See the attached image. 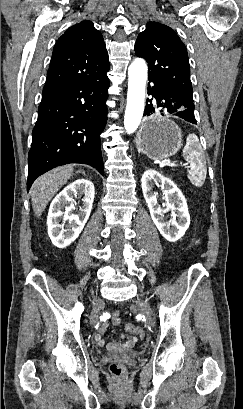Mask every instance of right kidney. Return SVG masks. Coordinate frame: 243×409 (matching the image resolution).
Masks as SVG:
<instances>
[{"mask_svg": "<svg viewBox=\"0 0 243 409\" xmlns=\"http://www.w3.org/2000/svg\"><path fill=\"white\" fill-rule=\"evenodd\" d=\"M83 195V205L78 214H72L74 209L73 196ZM94 185L87 179H78L66 186L51 202L48 217V235L58 248H65L76 240L83 230L92 210L94 200ZM65 207V212L62 209ZM63 222L60 224V222ZM68 221L64 229V223Z\"/></svg>", "mask_w": 243, "mask_h": 409, "instance_id": "1", "label": "right kidney"}]
</instances>
